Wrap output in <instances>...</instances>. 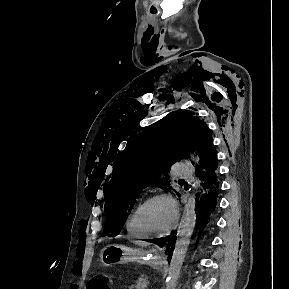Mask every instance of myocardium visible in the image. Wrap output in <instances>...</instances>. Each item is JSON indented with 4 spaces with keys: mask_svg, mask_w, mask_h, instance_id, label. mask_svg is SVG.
<instances>
[{
    "mask_svg": "<svg viewBox=\"0 0 289 289\" xmlns=\"http://www.w3.org/2000/svg\"><path fill=\"white\" fill-rule=\"evenodd\" d=\"M159 199H163V200H167L173 209V220L171 222V224L169 225L168 228H166L163 231H149L147 229H145L142 226L141 223V214L143 212V210L152 202L155 200H159ZM179 219V210H178V206L177 203L175 202V200L166 193H155L152 194L150 196H148L137 208L136 213H135V223L137 228L147 237H162V236H166L168 235L177 225Z\"/></svg>",
    "mask_w": 289,
    "mask_h": 289,
    "instance_id": "obj_1",
    "label": "myocardium"
}]
</instances>
